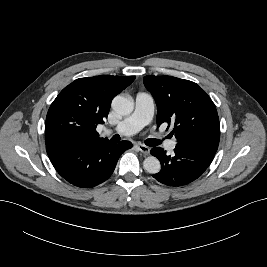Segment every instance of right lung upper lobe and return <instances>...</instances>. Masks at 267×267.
Here are the masks:
<instances>
[{
	"label": "right lung upper lobe",
	"mask_w": 267,
	"mask_h": 267,
	"mask_svg": "<svg viewBox=\"0 0 267 267\" xmlns=\"http://www.w3.org/2000/svg\"><path fill=\"white\" fill-rule=\"evenodd\" d=\"M135 76L79 78L66 86L51 104L45 124L46 148L107 141L96 127L107 118L112 99Z\"/></svg>",
	"instance_id": "obj_1"
}]
</instances>
